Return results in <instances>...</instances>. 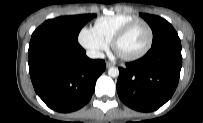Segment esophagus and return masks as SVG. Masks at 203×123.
Returning <instances> with one entry per match:
<instances>
[{"mask_svg":"<svg viewBox=\"0 0 203 123\" xmlns=\"http://www.w3.org/2000/svg\"><path fill=\"white\" fill-rule=\"evenodd\" d=\"M111 66H112V63H110V62L107 61V62H106V67L109 68V67H111Z\"/></svg>","mask_w":203,"mask_h":123,"instance_id":"1","label":"esophagus"}]
</instances>
